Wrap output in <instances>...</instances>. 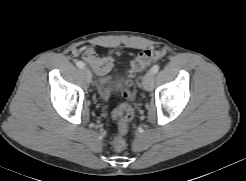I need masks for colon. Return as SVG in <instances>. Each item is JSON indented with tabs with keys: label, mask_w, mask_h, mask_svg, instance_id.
Masks as SVG:
<instances>
[{
	"label": "colon",
	"mask_w": 246,
	"mask_h": 181,
	"mask_svg": "<svg viewBox=\"0 0 246 181\" xmlns=\"http://www.w3.org/2000/svg\"><path fill=\"white\" fill-rule=\"evenodd\" d=\"M160 57V52L153 49H144L138 52L131 60L129 68V76H134L143 72L152 63L157 61ZM128 87L131 82L127 83ZM126 97H131V92H125ZM114 116L119 119V135L113 137L111 146L116 151H121L125 148V140L123 134L126 133L128 125L133 118V109L129 105H121L114 111Z\"/></svg>",
	"instance_id": "1"
}]
</instances>
